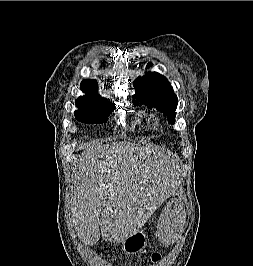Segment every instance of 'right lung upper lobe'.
Wrapping results in <instances>:
<instances>
[{
	"label": "right lung upper lobe",
	"instance_id": "1",
	"mask_svg": "<svg viewBox=\"0 0 253 266\" xmlns=\"http://www.w3.org/2000/svg\"><path fill=\"white\" fill-rule=\"evenodd\" d=\"M83 92L86 93V96L79 97L76 101V105H85L101 101H106L105 98H102L97 94V82L91 79H84L80 85Z\"/></svg>",
	"mask_w": 253,
	"mask_h": 266
}]
</instances>
